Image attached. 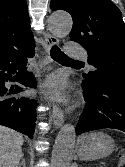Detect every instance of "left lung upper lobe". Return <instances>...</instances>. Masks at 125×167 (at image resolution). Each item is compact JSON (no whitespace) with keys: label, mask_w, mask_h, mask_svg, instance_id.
<instances>
[{"label":"left lung upper lobe","mask_w":125,"mask_h":167,"mask_svg":"<svg viewBox=\"0 0 125 167\" xmlns=\"http://www.w3.org/2000/svg\"><path fill=\"white\" fill-rule=\"evenodd\" d=\"M50 8L71 14L70 39L83 45L96 68L83 75L84 89L105 78L125 79V23L111 0H51Z\"/></svg>","instance_id":"5c2ea615"}]
</instances>
